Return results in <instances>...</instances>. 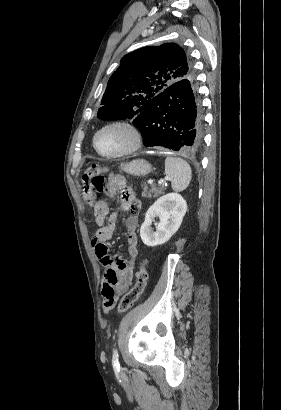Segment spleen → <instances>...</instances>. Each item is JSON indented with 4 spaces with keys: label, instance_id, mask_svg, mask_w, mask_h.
Masks as SVG:
<instances>
[{
    "label": "spleen",
    "instance_id": "obj_1",
    "mask_svg": "<svg viewBox=\"0 0 281 410\" xmlns=\"http://www.w3.org/2000/svg\"><path fill=\"white\" fill-rule=\"evenodd\" d=\"M165 174L171 181L174 191L186 189L192 177L190 165L185 160L176 157H167L165 159Z\"/></svg>",
    "mask_w": 281,
    "mask_h": 410
}]
</instances>
